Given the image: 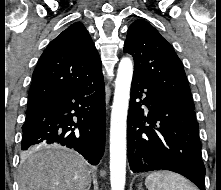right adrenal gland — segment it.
I'll list each match as a JSON object with an SVG mask.
<instances>
[{
  "mask_svg": "<svg viewBox=\"0 0 221 190\" xmlns=\"http://www.w3.org/2000/svg\"><path fill=\"white\" fill-rule=\"evenodd\" d=\"M90 187H91V184L87 187V189L86 190H90Z\"/></svg>",
  "mask_w": 221,
  "mask_h": 190,
  "instance_id": "1",
  "label": "right adrenal gland"
}]
</instances>
